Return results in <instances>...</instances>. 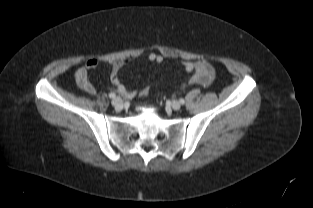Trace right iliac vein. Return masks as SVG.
I'll return each mask as SVG.
<instances>
[{"label":"right iliac vein","instance_id":"63e3f726","mask_svg":"<svg viewBox=\"0 0 313 208\" xmlns=\"http://www.w3.org/2000/svg\"><path fill=\"white\" fill-rule=\"evenodd\" d=\"M112 105L115 107L116 110H120L123 107V101L120 97H115L112 100Z\"/></svg>","mask_w":313,"mask_h":208}]
</instances>
